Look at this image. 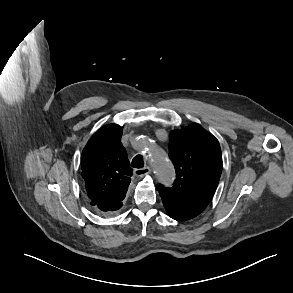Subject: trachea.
<instances>
[{
    "instance_id": "obj_1",
    "label": "trachea",
    "mask_w": 293,
    "mask_h": 293,
    "mask_svg": "<svg viewBox=\"0 0 293 293\" xmlns=\"http://www.w3.org/2000/svg\"><path fill=\"white\" fill-rule=\"evenodd\" d=\"M144 166L143 157L141 155H137L132 160V167L134 168H142Z\"/></svg>"
}]
</instances>
